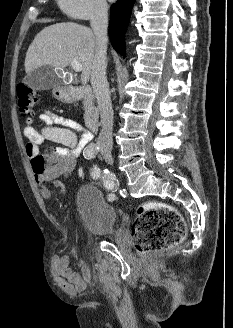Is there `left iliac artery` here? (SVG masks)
<instances>
[{
    "instance_id": "44dca946",
    "label": "left iliac artery",
    "mask_w": 233,
    "mask_h": 328,
    "mask_svg": "<svg viewBox=\"0 0 233 328\" xmlns=\"http://www.w3.org/2000/svg\"><path fill=\"white\" fill-rule=\"evenodd\" d=\"M91 175L93 178L98 179L100 177V169L97 167H94L91 172Z\"/></svg>"
}]
</instances>
